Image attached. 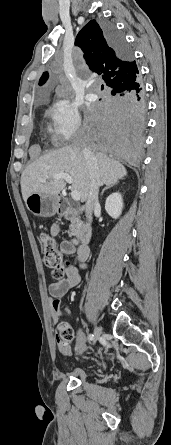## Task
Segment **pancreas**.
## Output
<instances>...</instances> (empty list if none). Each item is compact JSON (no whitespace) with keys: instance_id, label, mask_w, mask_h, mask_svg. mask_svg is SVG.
Wrapping results in <instances>:
<instances>
[{"instance_id":"pancreas-1","label":"pancreas","mask_w":171,"mask_h":445,"mask_svg":"<svg viewBox=\"0 0 171 445\" xmlns=\"http://www.w3.org/2000/svg\"><path fill=\"white\" fill-rule=\"evenodd\" d=\"M69 235L79 237L82 234L83 223L75 216L70 217Z\"/></svg>"}]
</instances>
